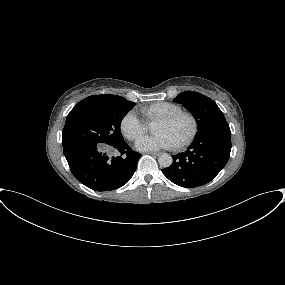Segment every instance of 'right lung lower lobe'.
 I'll list each match as a JSON object with an SVG mask.
<instances>
[{
  "label": "right lung lower lobe",
  "mask_w": 285,
  "mask_h": 285,
  "mask_svg": "<svg viewBox=\"0 0 285 285\" xmlns=\"http://www.w3.org/2000/svg\"><path fill=\"white\" fill-rule=\"evenodd\" d=\"M111 149L121 155L111 158L107 155ZM63 153L75 178L96 191L115 190L126 184L141 156L133 152L124 140L113 145L87 142L63 144Z\"/></svg>",
  "instance_id": "obj_1"
}]
</instances>
